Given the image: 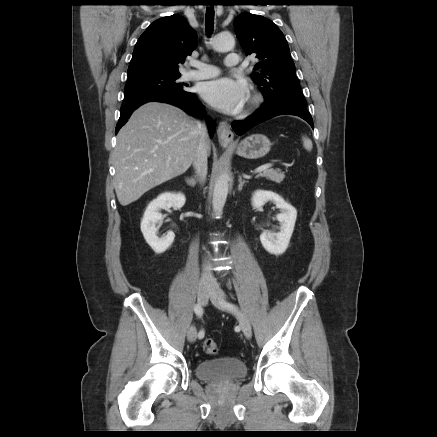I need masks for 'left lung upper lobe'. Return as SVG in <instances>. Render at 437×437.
Returning <instances> with one entry per match:
<instances>
[{
	"mask_svg": "<svg viewBox=\"0 0 437 437\" xmlns=\"http://www.w3.org/2000/svg\"><path fill=\"white\" fill-rule=\"evenodd\" d=\"M234 27L246 55L255 54L258 59L251 76L265 97L263 106L306 107L288 43L280 29L271 20L251 13L239 15Z\"/></svg>",
	"mask_w": 437,
	"mask_h": 437,
	"instance_id": "obj_1",
	"label": "left lung upper lobe"
}]
</instances>
